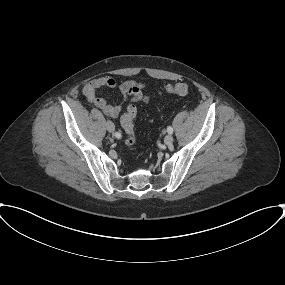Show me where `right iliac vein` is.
Here are the masks:
<instances>
[{"label": "right iliac vein", "mask_w": 285, "mask_h": 285, "mask_svg": "<svg viewBox=\"0 0 285 285\" xmlns=\"http://www.w3.org/2000/svg\"><path fill=\"white\" fill-rule=\"evenodd\" d=\"M106 129H107L110 133H113L114 130H115V126H114L113 122H111V121L108 120V121L106 122Z\"/></svg>", "instance_id": "obj_1"}]
</instances>
